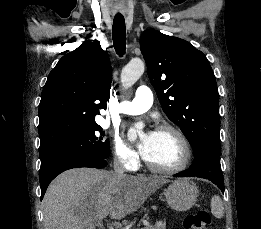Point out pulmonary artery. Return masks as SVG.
<instances>
[{
  "label": "pulmonary artery",
  "instance_id": "obj_1",
  "mask_svg": "<svg viewBox=\"0 0 261 229\" xmlns=\"http://www.w3.org/2000/svg\"><path fill=\"white\" fill-rule=\"evenodd\" d=\"M153 103V92L149 87L140 86L135 92V99L131 102H122L119 112L126 115H139L147 111Z\"/></svg>",
  "mask_w": 261,
  "mask_h": 229
}]
</instances>
